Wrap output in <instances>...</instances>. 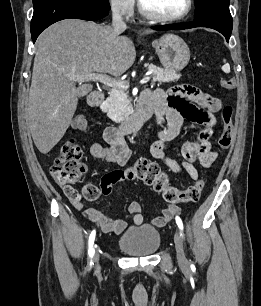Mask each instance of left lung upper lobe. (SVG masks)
<instances>
[{
  "instance_id": "1",
  "label": "left lung upper lobe",
  "mask_w": 261,
  "mask_h": 306,
  "mask_svg": "<svg viewBox=\"0 0 261 306\" xmlns=\"http://www.w3.org/2000/svg\"><path fill=\"white\" fill-rule=\"evenodd\" d=\"M196 6L195 20L231 22L230 0H194Z\"/></svg>"
}]
</instances>
